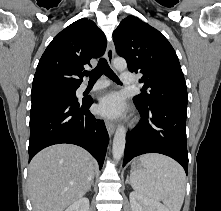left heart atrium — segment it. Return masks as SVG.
Instances as JSON below:
<instances>
[{
  "mask_svg": "<svg viewBox=\"0 0 221 211\" xmlns=\"http://www.w3.org/2000/svg\"><path fill=\"white\" fill-rule=\"evenodd\" d=\"M97 111L102 116L117 118L125 111L124 100L120 94L110 93L100 100Z\"/></svg>",
  "mask_w": 221,
  "mask_h": 211,
  "instance_id": "39dd6f15",
  "label": "left heart atrium"
}]
</instances>
